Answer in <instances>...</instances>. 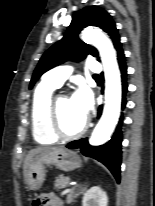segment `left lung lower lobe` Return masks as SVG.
<instances>
[{
	"label": "left lung lower lobe",
	"instance_id": "obj_1",
	"mask_svg": "<svg viewBox=\"0 0 155 206\" xmlns=\"http://www.w3.org/2000/svg\"><path fill=\"white\" fill-rule=\"evenodd\" d=\"M117 60L119 64V69L121 72L122 78V91H123V99H122V107H125L126 99L125 95L127 93V67L125 63V56L121 46L117 49ZM102 112V107L98 109V115L100 116ZM121 124L122 118L120 119L119 126L117 127L112 139L104 145L100 146H91L88 143L87 139H81L77 141H73L67 145L68 148H80V151L83 155L87 157H92L100 162H102L111 173L116 178L117 182H120V165H121Z\"/></svg>",
	"mask_w": 155,
	"mask_h": 206
}]
</instances>
